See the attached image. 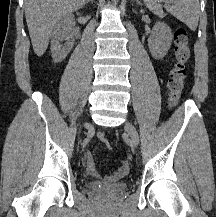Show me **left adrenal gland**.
<instances>
[{
    "instance_id": "obj_1",
    "label": "left adrenal gland",
    "mask_w": 216,
    "mask_h": 217,
    "mask_svg": "<svg viewBox=\"0 0 216 217\" xmlns=\"http://www.w3.org/2000/svg\"><path fill=\"white\" fill-rule=\"evenodd\" d=\"M134 1H136V3H137L138 5L142 6V3H141L140 0H134Z\"/></svg>"
}]
</instances>
